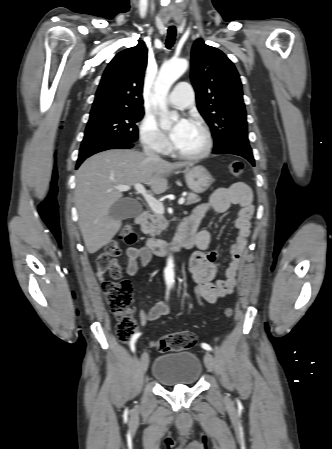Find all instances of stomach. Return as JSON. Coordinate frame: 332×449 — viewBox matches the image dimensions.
<instances>
[{"label":"stomach","instance_id":"0dacf381","mask_svg":"<svg viewBox=\"0 0 332 449\" xmlns=\"http://www.w3.org/2000/svg\"><path fill=\"white\" fill-rule=\"evenodd\" d=\"M188 188L194 193L205 192L213 183V178L203 166L186 168L184 171Z\"/></svg>","mask_w":332,"mask_h":449}]
</instances>
